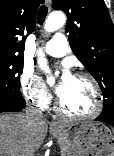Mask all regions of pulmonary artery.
Listing matches in <instances>:
<instances>
[{"label":"pulmonary artery","mask_w":114,"mask_h":156,"mask_svg":"<svg viewBox=\"0 0 114 156\" xmlns=\"http://www.w3.org/2000/svg\"><path fill=\"white\" fill-rule=\"evenodd\" d=\"M67 51L68 41L67 38L61 33L55 34L44 47V52L53 57H62L67 53Z\"/></svg>","instance_id":"obj_1"}]
</instances>
